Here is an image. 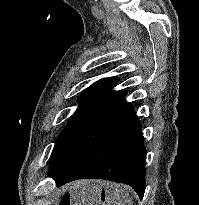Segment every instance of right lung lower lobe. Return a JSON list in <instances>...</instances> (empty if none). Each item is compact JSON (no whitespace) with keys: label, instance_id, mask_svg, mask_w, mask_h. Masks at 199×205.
Here are the masks:
<instances>
[{"label":"right lung lower lobe","instance_id":"right-lung-lower-lobe-1","mask_svg":"<svg viewBox=\"0 0 199 205\" xmlns=\"http://www.w3.org/2000/svg\"><path fill=\"white\" fill-rule=\"evenodd\" d=\"M146 148L141 123L133 116L103 142L73 160L58 174L50 175L58 187L77 180L98 178L131 186L139 198L145 192Z\"/></svg>","mask_w":199,"mask_h":205}]
</instances>
